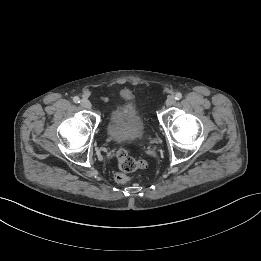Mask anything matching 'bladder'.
Instances as JSON below:
<instances>
[{"label": "bladder", "mask_w": 261, "mask_h": 261, "mask_svg": "<svg viewBox=\"0 0 261 261\" xmlns=\"http://www.w3.org/2000/svg\"><path fill=\"white\" fill-rule=\"evenodd\" d=\"M107 131L115 141H135L144 133V122L134 96L123 92L121 99L110 110Z\"/></svg>", "instance_id": "obj_1"}]
</instances>
